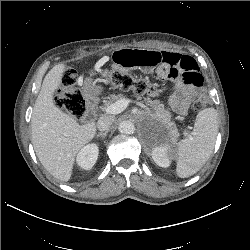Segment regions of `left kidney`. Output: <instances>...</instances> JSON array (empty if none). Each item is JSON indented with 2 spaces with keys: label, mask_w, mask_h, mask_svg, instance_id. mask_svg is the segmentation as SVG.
<instances>
[{
  "label": "left kidney",
  "mask_w": 250,
  "mask_h": 250,
  "mask_svg": "<svg viewBox=\"0 0 250 250\" xmlns=\"http://www.w3.org/2000/svg\"><path fill=\"white\" fill-rule=\"evenodd\" d=\"M169 150L170 146L167 144H161L152 148L151 156L160 167L166 168L170 165Z\"/></svg>",
  "instance_id": "1"
}]
</instances>
